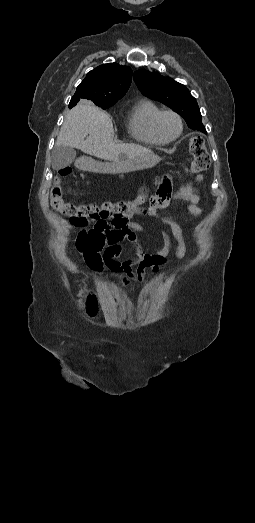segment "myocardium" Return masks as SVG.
<instances>
[{
    "label": "myocardium",
    "instance_id": "obj_1",
    "mask_svg": "<svg viewBox=\"0 0 255 523\" xmlns=\"http://www.w3.org/2000/svg\"><path fill=\"white\" fill-rule=\"evenodd\" d=\"M166 115H171V116H173V117L177 120V122H178V126H179L178 133H177L174 137H172V138H166V137L163 135V133H162V131H161V128H160L161 120H162V118H163L164 116H166ZM154 129H155L157 135H158V136H159L163 141H165V142H171V141H174V140H176L177 138H179L180 135L182 134V131H183V119H182L181 115H180L177 111H175V110H173V109H163V110H161V111L157 114L156 118L154 119Z\"/></svg>",
    "mask_w": 255,
    "mask_h": 523
}]
</instances>
